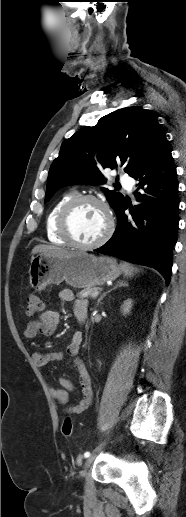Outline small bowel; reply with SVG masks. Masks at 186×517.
<instances>
[{"label": "small bowel", "instance_id": "small-bowel-1", "mask_svg": "<svg viewBox=\"0 0 186 517\" xmlns=\"http://www.w3.org/2000/svg\"><path fill=\"white\" fill-rule=\"evenodd\" d=\"M63 302L72 304L73 311L76 316L82 311L87 310V301L84 299H75L71 290H62L59 294ZM60 322L59 314L46 310L38 319L30 320L24 329L26 338H34L38 334L51 336L56 332ZM83 342V334L80 331L75 332L65 351L36 352L32 354V359L38 367H43L51 361H57L68 355L71 358L73 368L79 373V382L81 386V398L76 405L68 406L64 412L67 414H81L88 410L93 404L92 378L87 370L83 360L79 356V350ZM60 387L49 386V392L58 404L64 405L68 401V392L74 390V385L68 379L59 380Z\"/></svg>", "mask_w": 186, "mask_h": 517}]
</instances>
